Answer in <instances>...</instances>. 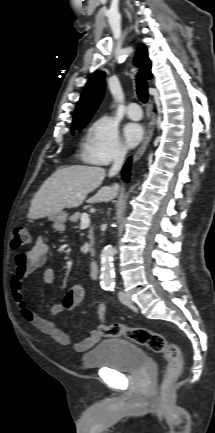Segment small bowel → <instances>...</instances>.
<instances>
[{
  "instance_id": "1",
  "label": "small bowel",
  "mask_w": 215,
  "mask_h": 433,
  "mask_svg": "<svg viewBox=\"0 0 215 433\" xmlns=\"http://www.w3.org/2000/svg\"><path fill=\"white\" fill-rule=\"evenodd\" d=\"M49 244L43 237H38L30 250L20 252L15 258L16 268L11 278V289L13 299L22 318L41 331L49 335L57 343L67 346L73 345L77 352H85L93 347L101 338L98 330H92L82 341L72 343L69 335L56 326L53 320H57L66 310H72L83 300L85 290L83 285H74L64 295L62 302L55 304L51 308L52 320L45 319L34 312L28 305L24 283L30 274L43 267L47 262ZM43 279L47 283H53L56 279V272L52 268H47L43 272ZM98 317L104 322L106 319V305L100 304L98 307Z\"/></svg>"
}]
</instances>
